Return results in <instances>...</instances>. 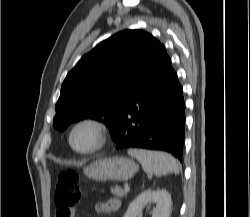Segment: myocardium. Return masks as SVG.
Returning a JSON list of instances; mask_svg holds the SVG:
<instances>
[{"mask_svg": "<svg viewBox=\"0 0 250 217\" xmlns=\"http://www.w3.org/2000/svg\"><path fill=\"white\" fill-rule=\"evenodd\" d=\"M81 128H88L93 134V143L83 149L76 148L73 144V135L75 132ZM107 139V127L106 125L94 118H84L76 121L69 130L68 133V143L72 150L78 154H92L98 151L106 142Z\"/></svg>", "mask_w": 250, "mask_h": 217, "instance_id": "f54148a6", "label": "myocardium"}]
</instances>
